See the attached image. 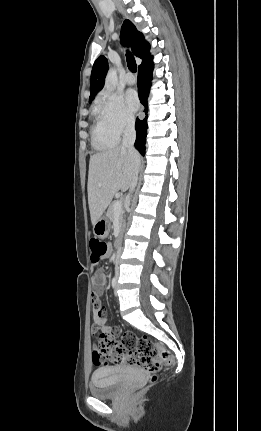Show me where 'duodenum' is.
<instances>
[{"label": "duodenum", "instance_id": "duodenum-1", "mask_svg": "<svg viewBox=\"0 0 261 431\" xmlns=\"http://www.w3.org/2000/svg\"><path fill=\"white\" fill-rule=\"evenodd\" d=\"M121 239H122V230H119L116 235V242H115L116 245L120 243Z\"/></svg>", "mask_w": 261, "mask_h": 431}]
</instances>
